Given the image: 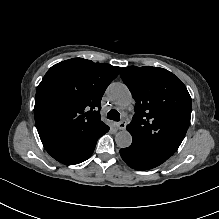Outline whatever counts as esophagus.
<instances>
[{
    "label": "esophagus",
    "mask_w": 219,
    "mask_h": 219,
    "mask_svg": "<svg viewBox=\"0 0 219 219\" xmlns=\"http://www.w3.org/2000/svg\"><path fill=\"white\" fill-rule=\"evenodd\" d=\"M126 125H127V122L126 120H122L120 121L119 123L116 124V127L119 129V130H124L126 128Z\"/></svg>",
    "instance_id": "1"
}]
</instances>
